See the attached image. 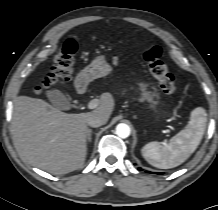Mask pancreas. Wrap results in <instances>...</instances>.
Wrapping results in <instances>:
<instances>
[{
  "label": "pancreas",
  "mask_w": 218,
  "mask_h": 210,
  "mask_svg": "<svg viewBox=\"0 0 218 210\" xmlns=\"http://www.w3.org/2000/svg\"><path fill=\"white\" fill-rule=\"evenodd\" d=\"M141 89L144 91V93H143V95L145 96V97H148V92H145V86L144 85H141Z\"/></svg>",
  "instance_id": "cf45deb5"
}]
</instances>
